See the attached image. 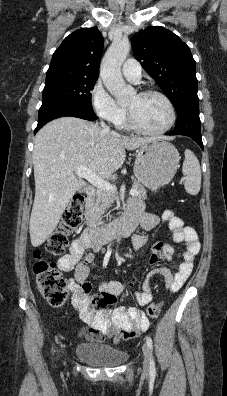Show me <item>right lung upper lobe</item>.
<instances>
[{
	"instance_id": "1",
	"label": "right lung upper lobe",
	"mask_w": 227,
	"mask_h": 396,
	"mask_svg": "<svg viewBox=\"0 0 227 396\" xmlns=\"http://www.w3.org/2000/svg\"><path fill=\"white\" fill-rule=\"evenodd\" d=\"M103 37L96 28H83L67 36L54 52L47 72L99 76Z\"/></svg>"
}]
</instances>
